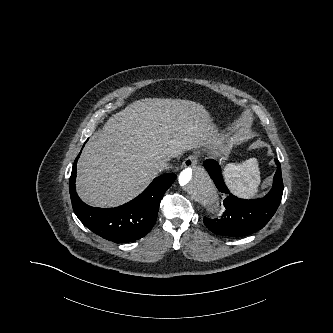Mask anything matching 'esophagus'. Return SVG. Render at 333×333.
<instances>
[{
	"instance_id": "34e87169",
	"label": "esophagus",
	"mask_w": 333,
	"mask_h": 333,
	"mask_svg": "<svg viewBox=\"0 0 333 333\" xmlns=\"http://www.w3.org/2000/svg\"><path fill=\"white\" fill-rule=\"evenodd\" d=\"M198 163V158L197 156H189L188 158H186L184 160V162L182 163V167H192L194 165H196Z\"/></svg>"
}]
</instances>
